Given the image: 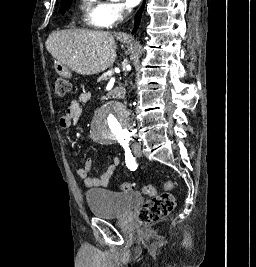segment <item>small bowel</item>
Segmentation results:
<instances>
[{
  "label": "small bowel",
  "instance_id": "small-bowel-1",
  "mask_svg": "<svg viewBox=\"0 0 256 267\" xmlns=\"http://www.w3.org/2000/svg\"><path fill=\"white\" fill-rule=\"evenodd\" d=\"M90 99L91 93L89 91L81 92L78 99L71 102L66 109L65 114L60 118V126L62 128H69L75 121H77L82 113L81 104L89 102ZM119 164L120 160L118 157L111 158L103 173L99 177L94 178L90 176L92 160L87 158L84 165L82 167H78L75 170V173L87 188L106 187Z\"/></svg>",
  "mask_w": 256,
  "mask_h": 267
}]
</instances>
